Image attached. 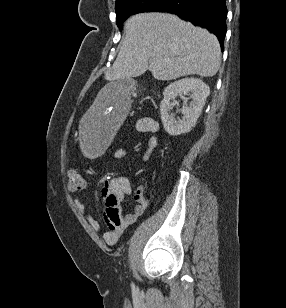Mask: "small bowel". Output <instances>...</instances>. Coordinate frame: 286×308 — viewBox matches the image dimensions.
Returning a JSON list of instances; mask_svg holds the SVG:
<instances>
[{
	"instance_id": "c3829d8e",
	"label": "small bowel",
	"mask_w": 286,
	"mask_h": 308,
	"mask_svg": "<svg viewBox=\"0 0 286 308\" xmlns=\"http://www.w3.org/2000/svg\"><path fill=\"white\" fill-rule=\"evenodd\" d=\"M135 130L139 133L150 134L147 149L142 157L143 161H147L158 145L157 133L159 131V125L153 118L143 117L136 122ZM114 155L116 158L123 157L124 148H117ZM130 192V184L123 176H115L102 183L100 196L104 202L103 215L108 227L103 232V239L109 245L115 244L123 231L132 225L146 209L148 200L145 194V188L143 185H139L134 195L137 205L133 212L127 215L122 214V205ZM75 205L78 210L86 213V207L79 199H75ZM86 218L93 229L100 230L101 226L98 220L88 214H86Z\"/></svg>"
}]
</instances>
